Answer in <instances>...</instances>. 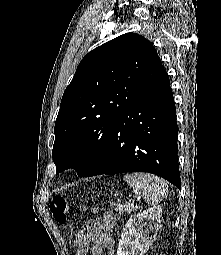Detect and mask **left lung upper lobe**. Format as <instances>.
I'll list each match as a JSON object with an SVG mask.
<instances>
[{"mask_svg":"<svg viewBox=\"0 0 221 255\" xmlns=\"http://www.w3.org/2000/svg\"><path fill=\"white\" fill-rule=\"evenodd\" d=\"M159 56L143 36L126 33L89 52L66 88L55 122L56 173L82 177L101 154L117 118L159 77Z\"/></svg>","mask_w":221,"mask_h":255,"instance_id":"obj_1","label":"left lung upper lobe"}]
</instances>
